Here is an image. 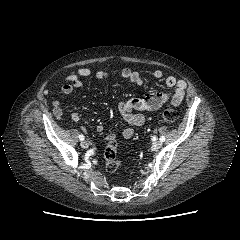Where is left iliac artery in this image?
Returning <instances> with one entry per match:
<instances>
[{
    "mask_svg": "<svg viewBox=\"0 0 240 240\" xmlns=\"http://www.w3.org/2000/svg\"><path fill=\"white\" fill-rule=\"evenodd\" d=\"M160 141H161V142H164V141H165V137H164V136H161V137H160Z\"/></svg>",
    "mask_w": 240,
    "mask_h": 240,
    "instance_id": "1",
    "label": "left iliac artery"
}]
</instances>
